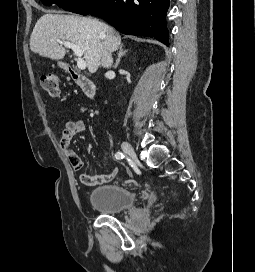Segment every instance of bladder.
Segmentation results:
<instances>
[{
  "label": "bladder",
  "instance_id": "bladder-1",
  "mask_svg": "<svg viewBox=\"0 0 255 272\" xmlns=\"http://www.w3.org/2000/svg\"><path fill=\"white\" fill-rule=\"evenodd\" d=\"M91 205L106 215H118L133 207L135 194L122 186L107 184L94 188L89 194Z\"/></svg>",
  "mask_w": 255,
  "mask_h": 272
}]
</instances>
